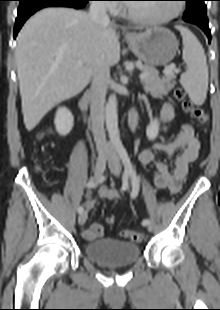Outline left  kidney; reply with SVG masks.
I'll return each mask as SVG.
<instances>
[{
    "label": "left kidney",
    "mask_w": 220,
    "mask_h": 310,
    "mask_svg": "<svg viewBox=\"0 0 220 310\" xmlns=\"http://www.w3.org/2000/svg\"><path fill=\"white\" fill-rule=\"evenodd\" d=\"M159 132V121L154 119L146 128V135L149 140H154Z\"/></svg>",
    "instance_id": "1"
}]
</instances>
